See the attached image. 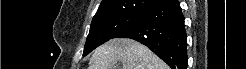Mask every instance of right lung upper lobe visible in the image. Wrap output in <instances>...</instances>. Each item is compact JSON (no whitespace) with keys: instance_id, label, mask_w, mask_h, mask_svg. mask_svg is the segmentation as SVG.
Segmentation results:
<instances>
[{"instance_id":"right-lung-upper-lobe-1","label":"right lung upper lobe","mask_w":246,"mask_h":69,"mask_svg":"<svg viewBox=\"0 0 246 69\" xmlns=\"http://www.w3.org/2000/svg\"><path fill=\"white\" fill-rule=\"evenodd\" d=\"M169 0H102L93 20L120 14H143Z\"/></svg>"}]
</instances>
